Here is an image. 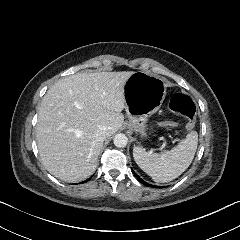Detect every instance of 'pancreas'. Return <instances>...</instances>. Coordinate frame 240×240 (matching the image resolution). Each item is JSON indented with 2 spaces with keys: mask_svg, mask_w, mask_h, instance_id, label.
I'll return each instance as SVG.
<instances>
[{
  "mask_svg": "<svg viewBox=\"0 0 240 240\" xmlns=\"http://www.w3.org/2000/svg\"><path fill=\"white\" fill-rule=\"evenodd\" d=\"M149 130L153 133H156L157 131L153 128V127H149ZM142 133H144V130L141 131Z\"/></svg>",
  "mask_w": 240,
  "mask_h": 240,
  "instance_id": "obj_1",
  "label": "pancreas"
}]
</instances>
